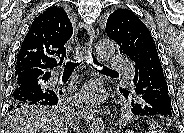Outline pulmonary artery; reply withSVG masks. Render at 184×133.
Wrapping results in <instances>:
<instances>
[{"instance_id":"obj_1","label":"pulmonary artery","mask_w":184,"mask_h":133,"mask_svg":"<svg viewBox=\"0 0 184 133\" xmlns=\"http://www.w3.org/2000/svg\"><path fill=\"white\" fill-rule=\"evenodd\" d=\"M109 62L110 69L126 71L130 78L134 76V70L132 69L131 62L125 56H112L110 57ZM55 78H57V76Z\"/></svg>"}]
</instances>
